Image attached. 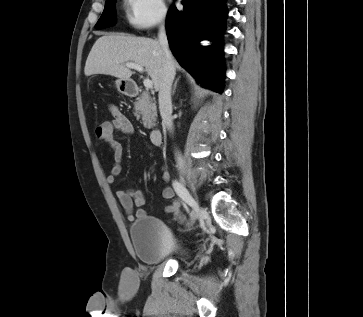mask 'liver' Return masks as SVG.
Masks as SVG:
<instances>
[{
    "label": "liver",
    "instance_id": "obj_1",
    "mask_svg": "<svg viewBox=\"0 0 363 317\" xmlns=\"http://www.w3.org/2000/svg\"><path fill=\"white\" fill-rule=\"evenodd\" d=\"M126 63H136L145 67L155 90L163 69V52L159 41L145 37L124 34L104 35L96 40L86 60L84 73L91 76L104 74L129 80L133 72ZM174 67L180 68L173 59Z\"/></svg>",
    "mask_w": 363,
    "mask_h": 317
}]
</instances>
